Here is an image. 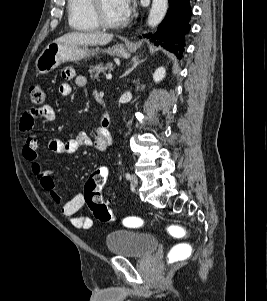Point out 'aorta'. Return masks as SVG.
Masks as SVG:
<instances>
[{
    "label": "aorta",
    "mask_w": 267,
    "mask_h": 301,
    "mask_svg": "<svg viewBox=\"0 0 267 301\" xmlns=\"http://www.w3.org/2000/svg\"><path fill=\"white\" fill-rule=\"evenodd\" d=\"M168 0H153L147 23L151 27L157 26L165 17Z\"/></svg>",
    "instance_id": "aorta-1"
}]
</instances>
